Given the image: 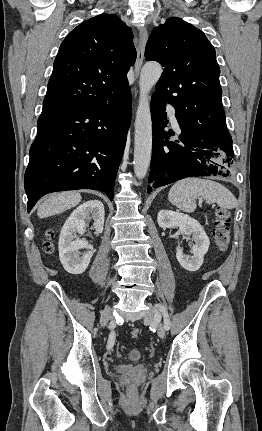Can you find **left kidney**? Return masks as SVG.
<instances>
[{
    "label": "left kidney",
    "instance_id": "1",
    "mask_svg": "<svg viewBox=\"0 0 262 431\" xmlns=\"http://www.w3.org/2000/svg\"><path fill=\"white\" fill-rule=\"evenodd\" d=\"M161 228L177 226L182 234L192 236L195 244L192 256L185 255L180 247L176 248V258L180 265L188 271H197L203 264L204 255L210 245L209 238L200 223L190 216L170 210H161L157 216Z\"/></svg>",
    "mask_w": 262,
    "mask_h": 431
}]
</instances>
